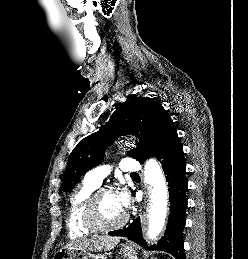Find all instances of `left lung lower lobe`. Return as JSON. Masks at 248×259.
Instances as JSON below:
<instances>
[{"instance_id":"1","label":"left lung lower lobe","mask_w":248,"mask_h":259,"mask_svg":"<svg viewBox=\"0 0 248 259\" xmlns=\"http://www.w3.org/2000/svg\"><path fill=\"white\" fill-rule=\"evenodd\" d=\"M156 158L162 163L169 187L170 215L164 237L157 245L148 247L142 241L140 219L137 218L127 229L116 230L109 235L128 237L148 250H160L172 254L176 259H185L182 230L185 226L187 208L186 163L180 140L160 151Z\"/></svg>"}]
</instances>
